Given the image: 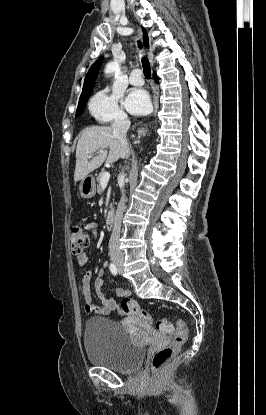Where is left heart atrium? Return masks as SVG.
Here are the masks:
<instances>
[{"label": "left heart atrium", "instance_id": "obj_1", "mask_svg": "<svg viewBox=\"0 0 266 415\" xmlns=\"http://www.w3.org/2000/svg\"><path fill=\"white\" fill-rule=\"evenodd\" d=\"M125 106L131 113H145L150 109L149 96L144 90H132L126 98Z\"/></svg>", "mask_w": 266, "mask_h": 415}]
</instances>
